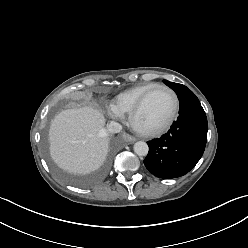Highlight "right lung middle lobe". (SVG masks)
I'll return each instance as SVG.
<instances>
[{"instance_id":"1","label":"right lung middle lobe","mask_w":248,"mask_h":248,"mask_svg":"<svg viewBox=\"0 0 248 248\" xmlns=\"http://www.w3.org/2000/svg\"><path fill=\"white\" fill-rule=\"evenodd\" d=\"M45 149L46 150L48 149L47 141H45ZM112 155H113V151L109 153L108 157L106 158L101 168L88 176H77L68 173L64 171L62 168H60L53 161H50V165L53 172L63 181L76 186H89L95 184L104 177L110 166Z\"/></svg>"}]
</instances>
